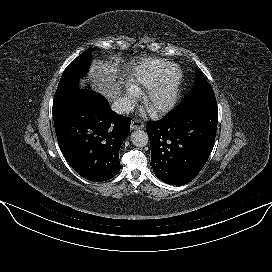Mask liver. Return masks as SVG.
<instances>
[{
    "label": "liver",
    "instance_id": "1",
    "mask_svg": "<svg viewBox=\"0 0 272 272\" xmlns=\"http://www.w3.org/2000/svg\"><path fill=\"white\" fill-rule=\"evenodd\" d=\"M114 60V62H112ZM119 55L111 58V61H102L100 59L93 60L89 70V78L92 80V88L105 96L109 101H114L120 98L122 93V84L126 74L120 73ZM134 65V61L129 63L127 71ZM122 74V75H121ZM85 80L82 81L81 86H84Z\"/></svg>",
    "mask_w": 272,
    "mask_h": 272
}]
</instances>
